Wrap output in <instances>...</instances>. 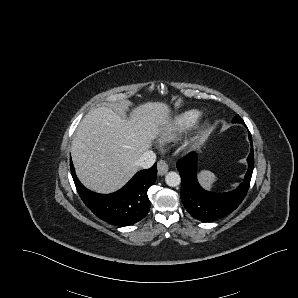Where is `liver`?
Wrapping results in <instances>:
<instances>
[{"mask_svg": "<svg viewBox=\"0 0 298 298\" xmlns=\"http://www.w3.org/2000/svg\"><path fill=\"white\" fill-rule=\"evenodd\" d=\"M169 121L170 107L160 101L140 104L128 119L105 106L89 111L71 144L78 178L98 193L121 188L140 170L136 162Z\"/></svg>", "mask_w": 298, "mask_h": 298, "instance_id": "6515ba94", "label": "liver"}]
</instances>
